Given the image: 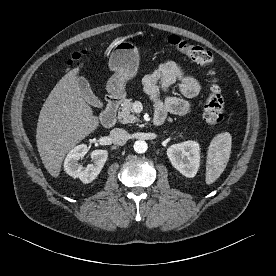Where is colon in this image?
Wrapping results in <instances>:
<instances>
[{"label":"colon","mask_w":276,"mask_h":276,"mask_svg":"<svg viewBox=\"0 0 276 276\" xmlns=\"http://www.w3.org/2000/svg\"><path fill=\"white\" fill-rule=\"evenodd\" d=\"M168 43L201 66L212 67L215 64L212 54L201 46L189 43L176 35L170 36ZM72 58L74 60L81 58V53H74ZM212 75H214V73H212ZM224 110L225 97L221 86L214 77L204 104L205 123L210 127L216 126L223 119Z\"/></svg>","instance_id":"obj_1"}]
</instances>
